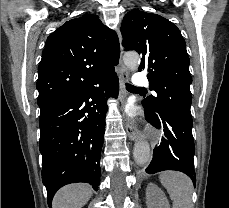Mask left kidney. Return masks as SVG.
Wrapping results in <instances>:
<instances>
[{
	"instance_id": "obj_1",
	"label": "left kidney",
	"mask_w": 229,
	"mask_h": 208,
	"mask_svg": "<svg viewBox=\"0 0 229 208\" xmlns=\"http://www.w3.org/2000/svg\"><path fill=\"white\" fill-rule=\"evenodd\" d=\"M146 200L148 208H170L164 192L151 182L146 188Z\"/></svg>"
}]
</instances>
